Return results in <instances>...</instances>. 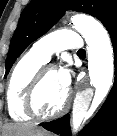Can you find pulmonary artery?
Returning <instances> with one entry per match:
<instances>
[{"label":"pulmonary artery","mask_w":117,"mask_h":136,"mask_svg":"<svg viewBox=\"0 0 117 136\" xmlns=\"http://www.w3.org/2000/svg\"><path fill=\"white\" fill-rule=\"evenodd\" d=\"M81 48L82 39L77 32L61 29L37 40L32 45L31 51L47 62L55 52L66 49L80 50Z\"/></svg>","instance_id":"obj_1"}]
</instances>
